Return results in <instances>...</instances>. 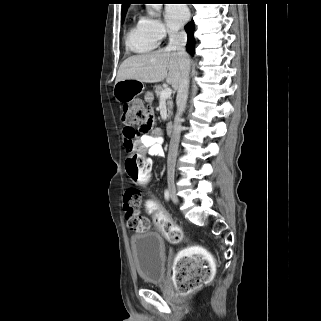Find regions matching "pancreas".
<instances>
[{
  "label": "pancreas",
  "instance_id": "pancreas-1",
  "mask_svg": "<svg viewBox=\"0 0 321 321\" xmlns=\"http://www.w3.org/2000/svg\"><path fill=\"white\" fill-rule=\"evenodd\" d=\"M163 91V87L160 85L155 86V94L160 99L161 92ZM167 111H168V118L172 116V109H173V102L172 99L169 97L166 99Z\"/></svg>",
  "mask_w": 321,
  "mask_h": 321
}]
</instances>
